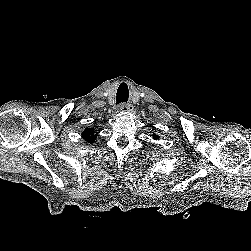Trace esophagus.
<instances>
[{
  "label": "esophagus",
  "mask_w": 251,
  "mask_h": 251,
  "mask_svg": "<svg viewBox=\"0 0 251 251\" xmlns=\"http://www.w3.org/2000/svg\"><path fill=\"white\" fill-rule=\"evenodd\" d=\"M119 111H132L133 110V105L131 104H121L119 106Z\"/></svg>",
  "instance_id": "obj_1"
}]
</instances>
